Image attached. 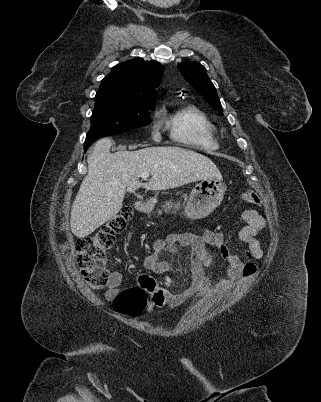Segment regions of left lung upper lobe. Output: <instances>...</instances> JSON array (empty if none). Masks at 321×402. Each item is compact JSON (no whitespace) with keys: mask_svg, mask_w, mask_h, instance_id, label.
<instances>
[{"mask_svg":"<svg viewBox=\"0 0 321 402\" xmlns=\"http://www.w3.org/2000/svg\"><path fill=\"white\" fill-rule=\"evenodd\" d=\"M178 69L184 78L205 98L219 113H223L217 91L207 75L204 66L198 62L185 61L179 63Z\"/></svg>","mask_w":321,"mask_h":402,"instance_id":"5c2ea615","label":"left lung upper lobe"}]
</instances>
